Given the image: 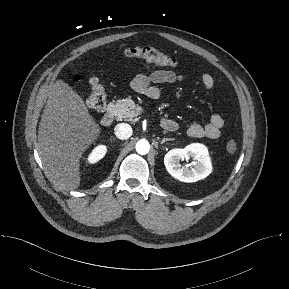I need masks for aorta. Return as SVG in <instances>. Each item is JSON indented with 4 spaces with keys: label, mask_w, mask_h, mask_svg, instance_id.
<instances>
[{
    "label": "aorta",
    "mask_w": 289,
    "mask_h": 289,
    "mask_svg": "<svg viewBox=\"0 0 289 289\" xmlns=\"http://www.w3.org/2000/svg\"><path fill=\"white\" fill-rule=\"evenodd\" d=\"M150 150V145L147 140H139L136 143V151L140 155H146Z\"/></svg>",
    "instance_id": "762f6f07"
}]
</instances>
